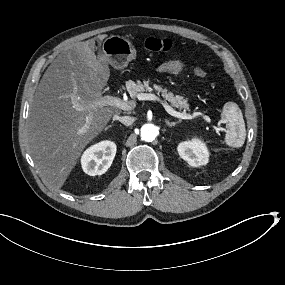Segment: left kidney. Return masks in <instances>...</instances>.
Instances as JSON below:
<instances>
[{"instance_id": "obj_1", "label": "left kidney", "mask_w": 285, "mask_h": 285, "mask_svg": "<svg viewBox=\"0 0 285 285\" xmlns=\"http://www.w3.org/2000/svg\"><path fill=\"white\" fill-rule=\"evenodd\" d=\"M179 155L191 166L198 167L204 165L208 161L207 149L198 142H184L178 147Z\"/></svg>"}]
</instances>
